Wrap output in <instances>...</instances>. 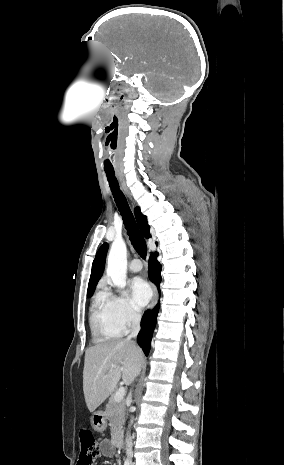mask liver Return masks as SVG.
I'll use <instances>...</instances> for the list:
<instances>
[{"instance_id":"6515ba94","label":"liver","mask_w":284,"mask_h":465,"mask_svg":"<svg viewBox=\"0 0 284 465\" xmlns=\"http://www.w3.org/2000/svg\"><path fill=\"white\" fill-rule=\"evenodd\" d=\"M144 355L133 341L109 339L85 353L83 391L86 405L93 413L113 393L121 377L131 385L141 371ZM115 367V369H112Z\"/></svg>"}]
</instances>
